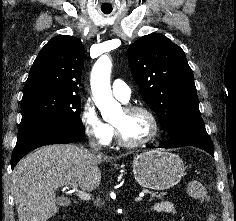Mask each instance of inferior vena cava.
Segmentation results:
<instances>
[{
	"instance_id": "602c4592",
	"label": "inferior vena cava",
	"mask_w": 236,
	"mask_h": 221,
	"mask_svg": "<svg viewBox=\"0 0 236 221\" xmlns=\"http://www.w3.org/2000/svg\"><path fill=\"white\" fill-rule=\"evenodd\" d=\"M89 146L92 150V153L100 154L101 146L97 144L94 138H91L89 141Z\"/></svg>"
}]
</instances>
